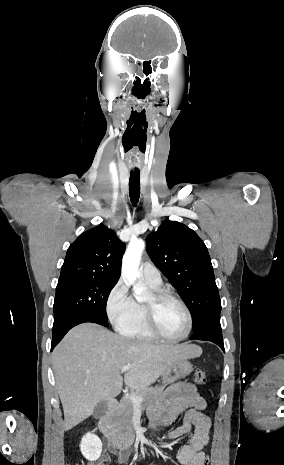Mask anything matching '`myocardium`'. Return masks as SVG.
<instances>
[{"instance_id":"1","label":"myocardium","mask_w":284,"mask_h":465,"mask_svg":"<svg viewBox=\"0 0 284 465\" xmlns=\"http://www.w3.org/2000/svg\"><path fill=\"white\" fill-rule=\"evenodd\" d=\"M168 301L178 304L186 313L188 320V326L185 334L177 339L166 338L160 333L157 326L159 309L165 302ZM143 306L147 319L145 321L146 330L155 340L167 344H177L186 340L191 334L194 325L193 315L188 306L176 296L162 289L156 290L152 295L150 301L145 303Z\"/></svg>"}]
</instances>
